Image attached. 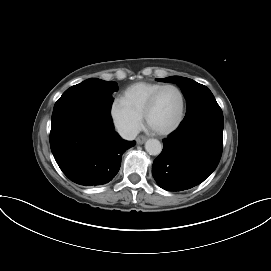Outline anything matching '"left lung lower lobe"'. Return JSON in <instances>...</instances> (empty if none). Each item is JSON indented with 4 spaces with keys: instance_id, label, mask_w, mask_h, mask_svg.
Segmentation results:
<instances>
[{
    "instance_id": "left-lung-lower-lobe-1",
    "label": "left lung lower lobe",
    "mask_w": 271,
    "mask_h": 271,
    "mask_svg": "<svg viewBox=\"0 0 271 271\" xmlns=\"http://www.w3.org/2000/svg\"><path fill=\"white\" fill-rule=\"evenodd\" d=\"M223 126L218 104L186 114L178 129L163 140L162 153L153 162L158 185L167 191H182L207 179L221 158Z\"/></svg>"
}]
</instances>
